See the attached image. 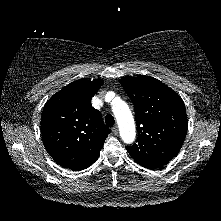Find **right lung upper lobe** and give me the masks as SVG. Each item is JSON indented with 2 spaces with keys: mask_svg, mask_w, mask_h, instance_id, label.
Here are the masks:
<instances>
[{
  "mask_svg": "<svg viewBox=\"0 0 221 221\" xmlns=\"http://www.w3.org/2000/svg\"><path fill=\"white\" fill-rule=\"evenodd\" d=\"M103 80L74 81L54 94L41 116L44 146L61 166L83 170L98 158L110 129L101 113L91 106V98Z\"/></svg>",
  "mask_w": 221,
  "mask_h": 221,
  "instance_id": "right-lung-upper-lobe-1",
  "label": "right lung upper lobe"
}]
</instances>
